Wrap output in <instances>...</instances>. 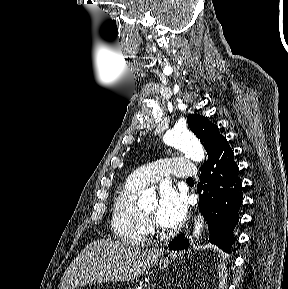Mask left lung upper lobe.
I'll list each match as a JSON object with an SVG mask.
<instances>
[{
    "label": "left lung upper lobe",
    "instance_id": "left-lung-upper-lobe-1",
    "mask_svg": "<svg viewBox=\"0 0 288 289\" xmlns=\"http://www.w3.org/2000/svg\"><path fill=\"white\" fill-rule=\"evenodd\" d=\"M187 123L191 131L200 139L209 160L225 138L220 134L218 127L203 116L191 114L187 117Z\"/></svg>",
    "mask_w": 288,
    "mask_h": 289
}]
</instances>
